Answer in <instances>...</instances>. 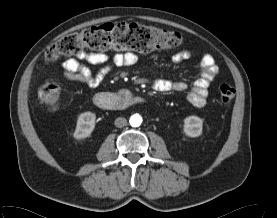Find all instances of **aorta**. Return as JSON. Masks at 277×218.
<instances>
[{
	"label": "aorta",
	"instance_id": "aorta-1",
	"mask_svg": "<svg viewBox=\"0 0 277 218\" xmlns=\"http://www.w3.org/2000/svg\"><path fill=\"white\" fill-rule=\"evenodd\" d=\"M129 122L132 127H138L142 123V117L139 114H133L130 117Z\"/></svg>",
	"mask_w": 277,
	"mask_h": 218
}]
</instances>
